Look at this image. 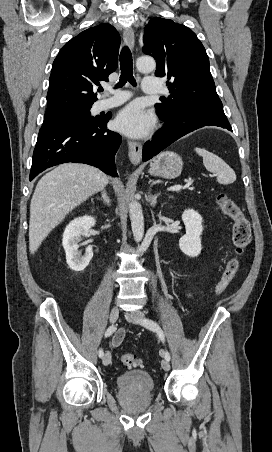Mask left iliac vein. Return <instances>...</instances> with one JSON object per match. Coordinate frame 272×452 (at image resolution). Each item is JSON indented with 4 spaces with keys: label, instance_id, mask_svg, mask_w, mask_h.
I'll return each instance as SVG.
<instances>
[{
    "label": "left iliac vein",
    "instance_id": "1",
    "mask_svg": "<svg viewBox=\"0 0 272 452\" xmlns=\"http://www.w3.org/2000/svg\"><path fill=\"white\" fill-rule=\"evenodd\" d=\"M144 318V314L141 311H134L131 313H126V319L130 322L141 324V320ZM161 366L163 370L169 371L170 370V363L168 360L163 359L161 361Z\"/></svg>",
    "mask_w": 272,
    "mask_h": 452
}]
</instances>
